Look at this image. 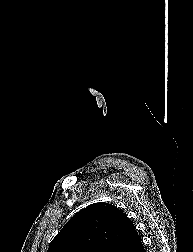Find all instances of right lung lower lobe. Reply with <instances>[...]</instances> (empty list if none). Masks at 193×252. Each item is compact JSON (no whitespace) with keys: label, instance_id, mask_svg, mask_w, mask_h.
Listing matches in <instances>:
<instances>
[{"label":"right lung lower lobe","instance_id":"obj_1","mask_svg":"<svg viewBox=\"0 0 193 252\" xmlns=\"http://www.w3.org/2000/svg\"><path fill=\"white\" fill-rule=\"evenodd\" d=\"M133 252H145V249H144L142 243H140L139 245H137V246L134 248Z\"/></svg>","mask_w":193,"mask_h":252}]
</instances>
